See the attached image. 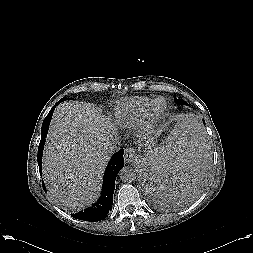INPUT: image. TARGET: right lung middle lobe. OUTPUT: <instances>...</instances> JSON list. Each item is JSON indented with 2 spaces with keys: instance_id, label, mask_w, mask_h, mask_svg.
Masks as SVG:
<instances>
[{
  "instance_id": "right-lung-middle-lobe-1",
  "label": "right lung middle lobe",
  "mask_w": 253,
  "mask_h": 253,
  "mask_svg": "<svg viewBox=\"0 0 253 253\" xmlns=\"http://www.w3.org/2000/svg\"><path fill=\"white\" fill-rule=\"evenodd\" d=\"M66 98H62L61 100L64 101Z\"/></svg>"
}]
</instances>
